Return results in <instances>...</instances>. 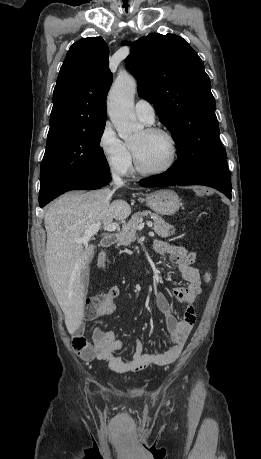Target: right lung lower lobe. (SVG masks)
<instances>
[{
	"label": "right lung lower lobe",
	"mask_w": 261,
	"mask_h": 459,
	"mask_svg": "<svg viewBox=\"0 0 261 459\" xmlns=\"http://www.w3.org/2000/svg\"><path fill=\"white\" fill-rule=\"evenodd\" d=\"M111 181L110 174H84L70 177L52 188L47 195L39 198L40 207L55 199L60 194L75 189L93 190L107 185Z\"/></svg>",
	"instance_id": "98d812e1"
}]
</instances>
